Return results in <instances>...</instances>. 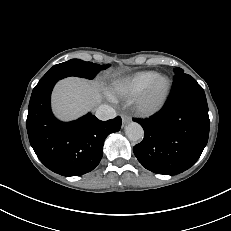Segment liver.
Masks as SVG:
<instances>
[{
	"label": "liver",
	"mask_w": 231,
	"mask_h": 231,
	"mask_svg": "<svg viewBox=\"0 0 231 231\" xmlns=\"http://www.w3.org/2000/svg\"><path fill=\"white\" fill-rule=\"evenodd\" d=\"M101 100L96 83L70 77L56 85L52 94V108L59 119L69 121L92 110Z\"/></svg>",
	"instance_id": "liver-1"
}]
</instances>
